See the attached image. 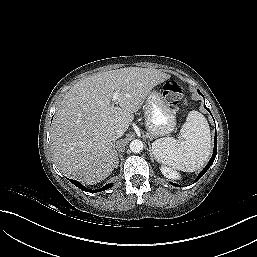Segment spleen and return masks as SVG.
<instances>
[{
    "instance_id": "spleen-1",
    "label": "spleen",
    "mask_w": 257,
    "mask_h": 257,
    "mask_svg": "<svg viewBox=\"0 0 257 257\" xmlns=\"http://www.w3.org/2000/svg\"><path fill=\"white\" fill-rule=\"evenodd\" d=\"M152 152L160 163L184 172L200 169L211 153L210 128L206 118L191 111L178 139L160 138L152 143Z\"/></svg>"
}]
</instances>
